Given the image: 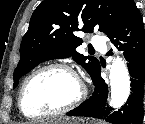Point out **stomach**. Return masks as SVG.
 <instances>
[{
    "label": "stomach",
    "mask_w": 145,
    "mask_h": 124,
    "mask_svg": "<svg viewBox=\"0 0 145 124\" xmlns=\"http://www.w3.org/2000/svg\"><path fill=\"white\" fill-rule=\"evenodd\" d=\"M42 124H101V123H96L93 120L89 121L83 119H69L65 117H60V118L51 119Z\"/></svg>",
    "instance_id": "0dacf381"
}]
</instances>
